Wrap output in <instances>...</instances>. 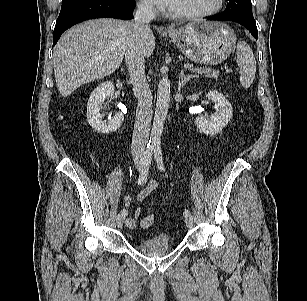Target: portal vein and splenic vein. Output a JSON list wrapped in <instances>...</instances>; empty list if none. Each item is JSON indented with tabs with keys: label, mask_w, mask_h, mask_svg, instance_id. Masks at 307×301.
<instances>
[{
	"label": "portal vein and splenic vein",
	"mask_w": 307,
	"mask_h": 301,
	"mask_svg": "<svg viewBox=\"0 0 307 301\" xmlns=\"http://www.w3.org/2000/svg\"><path fill=\"white\" fill-rule=\"evenodd\" d=\"M184 68H185V69H191V68H193V65H192V64H185V65H184ZM226 72H227V73H233L234 70H233V69H227Z\"/></svg>",
	"instance_id": "1"
}]
</instances>
